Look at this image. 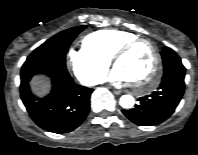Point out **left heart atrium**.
<instances>
[{
  "mask_svg": "<svg viewBox=\"0 0 198 155\" xmlns=\"http://www.w3.org/2000/svg\"><path fill=\"white\" fill-rule=\"evenodd\" d=\"M109 80L115 83H125L130 81V79L117 67L110 73Z\"/></svg>",
  "mask_w": 198,
  "mask_h": 155,
  "instance_id": "left-heart-atrium-1",
  "label": "left heart atrium"
}]
</instances>
